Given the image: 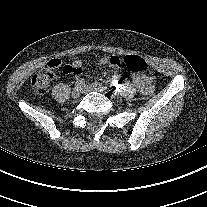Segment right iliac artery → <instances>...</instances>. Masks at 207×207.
Listing matches in <instances>:
<instances>
[{
  "instance_id": "1",
  "label": "right iliac artery",
  "mask_w": 207,
  "mask_h": 207,
  "mask_svg": "<svg viewBox=\"0 0 207 207\" xmlns=\"http://www.w3.org/2000/svg\"><path fill=\"white\" fill-rule=\"evenodd\" d=\"M85 84V80L84 79H78L76 82V86L78 87H82Z\"/></svg>"
}]
</instances>
